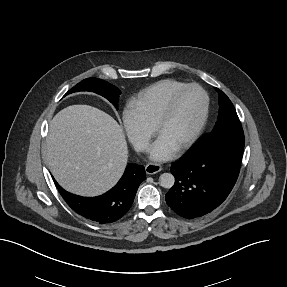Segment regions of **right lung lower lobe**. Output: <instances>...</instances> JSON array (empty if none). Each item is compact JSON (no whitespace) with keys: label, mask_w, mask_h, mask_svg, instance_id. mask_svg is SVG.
I'll return each mask as SVG.
<instances>
[{"label":"right lung lower lobe","mask_w":287,"mask_h":287,"mask_svg":"<svg viewBox=\"0 0 287 287\" xmlns=\"http://www.w3.org/2000/svg\"><path fill=\"white\" fill-rule=\"evenodd\" d=\"M146 179L143 166L130 164L119 182L108 192L98 197H81L61 188L55 181L66 203L80 216L99 224L121 219L130 209L137 189Z\"/></svg>","instance_id":"obj_1"}]
</instances>
